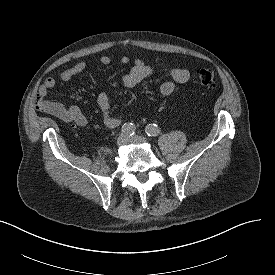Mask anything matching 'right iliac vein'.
Instances as JSON below:
<instances>
[{
  "mask_svg": "<svg viewBox=\"0 0 275 275\" xmlns=\"http://www.w3.org/2000/svg\"><path fill=\"white\" fill-rule=\"evenodd\" d=\"M129 142H130V137L127 134H124V133L120 134L118 139H117V144L119 146H124Z\"/></svg>",
  "mask_w": 275,
  "mask_h": 275,
  "instance_id": "63e3f726",
  "label": "right iliac vein"
}]
</instances>
